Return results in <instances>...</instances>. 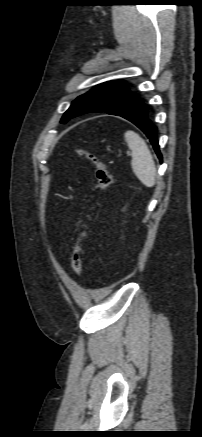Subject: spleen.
<instances>
[{"mask_svg":"<svg viewBox=\"0 0 202 437\" xmlns=\"http://www.w3.org/2000/svg\"><path fill=\"white\" fill-rule=\"evenodd\" d=\"M131 150V167L137 178L147 187H153L156 179L155 162L146 143L133 131L124 133Z\"/></svg>","mask_w":202,"mask_h":437,"instance_id":"spleen-1","label":"spleen"}]
</instances>
